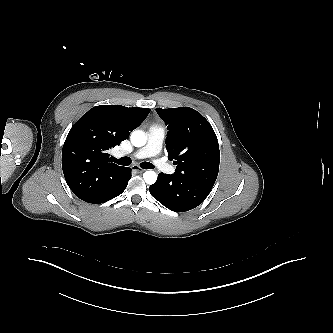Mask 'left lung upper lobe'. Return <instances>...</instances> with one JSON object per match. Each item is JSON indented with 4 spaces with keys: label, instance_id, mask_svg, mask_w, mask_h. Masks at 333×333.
<instances>
[{
    "label": "left lung upper lobe",
    "instance_id": "1",
    "mask_svg": "<svg viewBox=\"0 0 333 333\" xmlns=\"http://www.w3.org/2000/svg\"><path fill=\"white\" fill-rule=\"evenodd\" d=\"M168 125L166 149L175 160V177L213 186L219 171L220 151L210 123L190 107L156 109Z\"/></svg>",
    "mask_w": 333,
    "mask_h": 333
}]
</instances>
